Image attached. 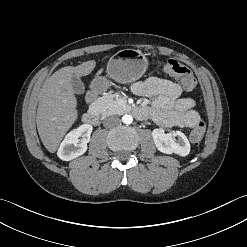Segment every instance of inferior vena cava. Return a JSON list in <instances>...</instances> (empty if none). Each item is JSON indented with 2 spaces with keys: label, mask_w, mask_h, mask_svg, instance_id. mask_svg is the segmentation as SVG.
Wrapping results in <instances>:
<instances>
[{
  "label": "inferior vena cava",
  "mask_w": 247,
  "mask_h": 247,
  "mask_svg": "<svg viewBox=\"0 0 247 247\" xmlns=\"http://www.w3.org/2000/svg\"><path fill=\"white\" fill-rule=\"evenodd\" d=\"M120 123V119L118 116H108L103 120V125L105 127L114 126Z\"/></svg>",
  "instance_id": "obj_1"
}]
</instances>
